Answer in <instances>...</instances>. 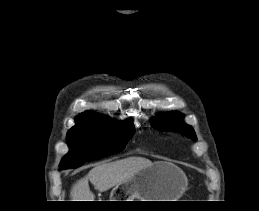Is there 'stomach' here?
<instances>
[{
    "instance_id": "1",
    "label": "stomach",
    "mask_w": 259,
    "mask_h": 211,
    "mask_svg": "<svg viewBox=\"0 0 259 211\" xmlns=\"http://www.w3.org/2000/svg\"><path fill=\"white\" fill-rule=\"evenodd\" d=\"M186 188V178L179 168L167 162H155L111 192L112 201H175Z\"/></svg>"
}]
</instances>
